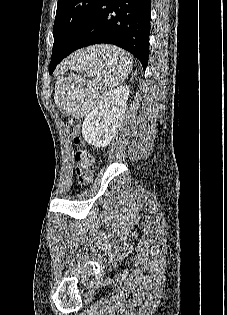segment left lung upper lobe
I'll return each mask as SVG.
<instances>
[{
	"mask_svg": "<svg viewBox=\"0 0 227 315\" xmlns=\"http://www.w3.org/2000/svg\"><path fill=\"white\" fill-rule=\"evenodd\" d=\"M102 0H58L53 51L64 50L92 17Z\"/></svg>",
	"mask_w": 227,
	"mask_h": 315,
	"instance_id": "obj_1",
	"label": "left lung upper lobe"
}]
</instances>
